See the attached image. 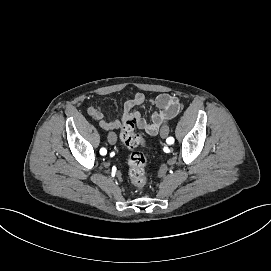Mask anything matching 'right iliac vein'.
Returning <instances> with one entry per match:
<instances>
[{"mask_svg":"<svg viewBox=\"0 0 271 271\" xmlns=\"http://www.w3.org/2000/svg\"><path fill=\"white\" fill-rule=\"evenodd\" d=\"M116 140H117V136L114 132H110L108 134V141L110 144H115L116 143Z\"/></svg>","mask_w":271,"mask_h":271,"instance_id":"right-iliac-vein-1","label":"right iliac vein"}]
</instances>
